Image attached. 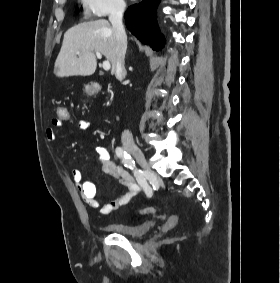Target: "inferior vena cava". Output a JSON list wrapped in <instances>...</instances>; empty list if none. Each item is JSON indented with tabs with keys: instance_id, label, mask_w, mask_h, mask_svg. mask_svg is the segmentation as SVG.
<instances>
[{
	"instance_id": "inferior-vena-cava-1",
	"label": "inferior vena cava",
	"mask_w": 280,
	"mask_h": 283,
	"mask_svg": "<svg viewBox=\"0 0 280 283\" xmlns=\"http://www.w3.org/2000/svg\"><path fill=\"white\" fill-rule=\"evenodd\" d=\"M126 5L123 2L116 4L109 16V20L114 28L117 43H118V52H117V62H116V77L119 80L125 78L127 72L125 69V54L127 50V37L125 29L122 22L123 13L125 11ZM121 141L125 145H133L134 140L131 132L125 130L122 133Z\"/></svg>"
}]
</instances>
